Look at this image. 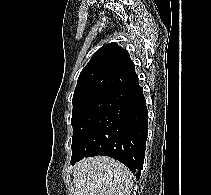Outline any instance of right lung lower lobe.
<instances>
[{"label": "right lung lower lobe", "instance_id": "obj_1", "mask_svg": "<svg viewBox=\"0 0 211 195\" xmlns=\"http://www.w3.org/2000/svg\"><path fill=\"white\" fill-rule=\"evenodd\" d=\"M148 132V111L138 81L114 91L72 152L71 163L84 157L109 156L139 179Z\"/></svg>", "mask_w": 211, "mask_h": 195}]
</instances>
